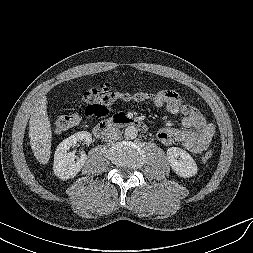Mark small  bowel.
Listing matches in <instances>:
<instances>
[{
	"instance_id": "1",
	"label": "small bowel",
	"mask_w": 253,
	"mask_h": 253,
	"mask_svg": "<svg viewBox=\"0 0 253 253\" xmlns=\"http://www.w3.org/2000/svg\"><path fill=\"white\" fill-rule=\"evenodd\" d=\"M103 91L110 90L105 85L100 88ZM98 89L93 88L85 93L87 102L95 101V93ZM122 92H114L115 97H120ZM152 102L157 107L165 108L174 116L180 117L182 128L163 127L157 132V139L164 145L175 143L181 144L191 153H201L210 144L215 128L208 123L203 115L195 107L190 105L178 92L174 90H161L152 96ZM109 109V105H107Z\"/></svg>"
}]
</instances>
